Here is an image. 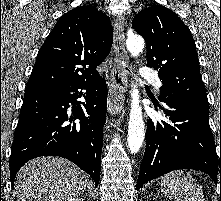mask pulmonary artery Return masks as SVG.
Returning <instances> with one entry per match:
<instances>
[{"instance_id": "e3ab8cb5", "label": "pulmonary artery", "mask_w": 221, "mask_h": 201, "mask_svg": "<svg viewBox=\"0 0 221 201\" xmlns=\"http://www.w3.org/2000/svg\"><path fill=\"white\" fill-rule=\"evenodd\" d=\"M140 76L142 77V79L154 83L157 88H160L162 86V83L157 73L150 68L147 67L141 68Z\"/></svg>"}]
</instances>
